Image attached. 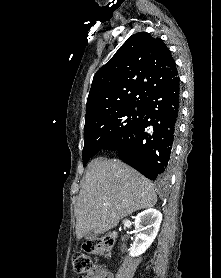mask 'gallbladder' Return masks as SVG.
Returning <instances> with one entry per match:
<instances>
[{
	"label": "gallbladder",
	"instance_id": "gallbladder-1",
	"mask_svg": "<svg viewBox=\"0 0 221 278\" xmlns=\"http://www.w3.org/2000/svg\"><path fill=\"white\" fill-rule=\"evenodd\" d=\"M96 237V234L93 231H89L85 235L86 240H92Z\"/></svg>",
	"mask_w": 221,
	"mask_h": 278
}]
</instances>
